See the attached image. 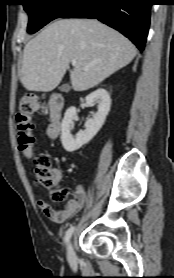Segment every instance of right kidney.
<instances>
[{
  "instance_id": "right-kidney-1",
  "label": "right kidney",
  "mask_w": 174,
  "mask_h": 278,
  "mask_svg": "<svg viewBox=\"0 0 174 278\" xmlns=\"http://www.w3.org/2000/svg\"><path fill=\"white\" fill-rule=\"evenodd\" d=\"M85 101L89 106L97 103L98 111L94 114L93 118L87 120L85 130H81L76 136H73L70 131L74 117L77 114V109L72 106L66 110L61 125V142L67 152H74L88 143L101 129L110 111L111 98L109 93L103 88H99L90 93L85 98Z\"/></svg>"
}]
</instances>
